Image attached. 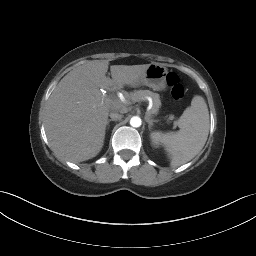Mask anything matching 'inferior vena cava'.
I'll list each match as a JSON object with an SVG mask.
<instances>
[{
    "mask_svg": "<svg viewBox=\"0 0 256 256\" xmlns=\"http://www.w3.org/2000/svg\"><path fill=\"white\" fill-rule=\"evenodd\" d=\"M109 116H110L111 119L116 120V121H117V120H121L122 117H123V116H122L120 113H118V112H111Z\"/></svg>",
    "mask_w": 256,
    "mask_h": 256,
    "instance_id": "obj_1",
    "label": "inferior vena cava"
}]
</instances>
